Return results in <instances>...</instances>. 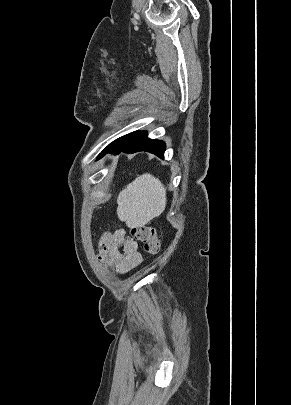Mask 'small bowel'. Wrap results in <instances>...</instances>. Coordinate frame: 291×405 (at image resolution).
I'll list each match as a JSON object with an SVG mask.
<instances>
[{"instance_id": "small-bowel-1", "label": "small bowel", "mask_w": 291, "mask_h": 405, "mask_svg": "<svg viewBox=\"0 0 291 405\" xmlns=\"http://www.w3.org/2000/svg\"><path fill=\"white\" fill-rule=\"evenodd\" d=\"M98 258L119 274L127 273L140 265L143 260L137 242L127 239L123 229L102 236Z\"/></svg>"}]
</instances>
